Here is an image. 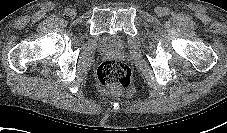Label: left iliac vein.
Returning a JSON list of instances; mask_svg holds the SVG:
<instances>
[{
  "label": "left iliac vein",
  "mask_w": 227,
  "mask_h": 133,
  "mask_svg": "<svg viewBox=\"0 0 227 133\" xmlns=\"http://www.w3.org/2000/svg\"><path fill=\"white\" fill-rule=\"evenodd\" d=\"M155 12H156V14H157L158 16H163V15H165V11H164V9H163L162 7H157V8L155 9Z\"/></svg>",
  "instance_id": "4c4485c4"
}]
</instances>
